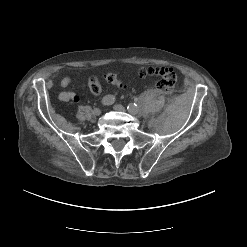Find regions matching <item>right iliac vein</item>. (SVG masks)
I'll return each instance as SVG.
<instances>
[{"mask_svg":"<svg viewBox=\"0 0 247 247\" xmlns=\"http://www.w3.org/2000/svg\"><path fill=\"white\" fill-rule=\"evenodd\" d=\"M100 114H101V109H100V108H95V109L93 110V115L99 116Z\"/></svg>","mask_w":247,"mask_h":247,"instance_id":"63e3f726","label":"right iliac vein"}]
</instances>
